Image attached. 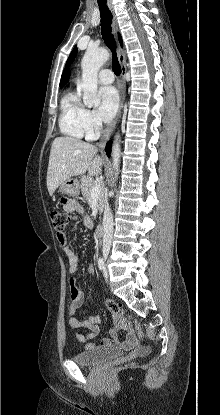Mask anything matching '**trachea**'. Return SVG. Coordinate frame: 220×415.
<instances>
[{
  "label": "trachea",
  "instance_id": "1",
  "mask_svg": "<svg viewBox=\"0 0 220 415\" xmlns=\"http://www.w3.org/2000/svg\"><path fill=\"white\" fill-rule=\"evenodd\" d=\"M100 14H101V34L102 38L106 44V46L112 52V63H113V71L115 75L121 74V67L117 59L116 54V43L114 40V36L112 35V13L107 7L106 4H99Z\"/></svg>",
  "mask_w": 220,
  "mask_h": 415
}]
</instances>
